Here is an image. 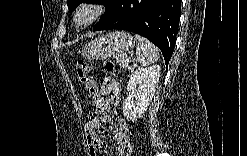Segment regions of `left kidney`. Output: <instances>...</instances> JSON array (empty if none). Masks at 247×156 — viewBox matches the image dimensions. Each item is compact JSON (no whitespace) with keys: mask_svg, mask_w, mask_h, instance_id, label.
<instances>
[{"mask_svg":"<svg viewBox=\"0 0 247 156\" xmlns=\"http://www.w3.org/2000/svg\"><path fill=\"white\" fill-rule=\"evenodd\" d=\"M161 68L159 65L140 68L130 76L123 102V114L129 121H136L147 110L158 85Z\"/></svg>","mask_w":247,"mask_h":156,"instance_id":"5707ae66","label":"left kidney"}]
</instances>
